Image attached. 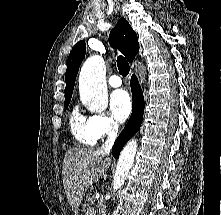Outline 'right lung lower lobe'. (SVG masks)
<instances>
[{
	"label": "right lung lower lobe",
	"instance_id": "1",
	"mask_svg": "<svg viewBox=\"0 0 221 215\" xmlns=\"http://www.w3.org/2000/svg\"><path fill=\"white\" fill-rule=\"evenodd\" d=\"M131 90L133 99V110L125 128L116 139L112 148V154L115 158H118L120 151L125 143L139 130L143 112H144V97L139 85L138 79L135 75L131 77Z\"/></svg>",
	"mask_w": 221,
	"mask_h": 215
}]
</instances>
